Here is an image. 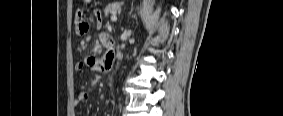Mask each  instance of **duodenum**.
Here are the masks:
<instances>
[{"label":"duodenum","mask_w":283,"mask_h":116,"mask_svg":"<svg viewBox=\"0 0 283 116\" xmlns=\"http://www.w3.org/2000/svg\"><path fill=\"white\" fill-rule=\"evenodd\" d=\"M105 44H106V45H111V46H112V43H110L108 39H107V41L105 42Z\"/></svg>","instance_id":"1"}]
</instances>
